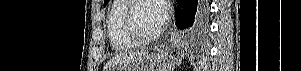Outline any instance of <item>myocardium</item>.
Instances as JSON below:
<instances>
[{
  "instance_id": "f54148a6",
  "label": "myocardium",
  "mask_w": 301,
  "mask_h": 71,
  "mask_svg": "<svg viewBox=\"0 0 301 71\" xmlns=\"http://www.w3.org/2000/svg\"><path fill=\"white\" fill-rule=\"evenodd\" d=\"M144 1L148 0H130L123 16V24L126 34L138 44L151 43L157 40L162 34V29L152 34H144L140 31L135 21V11L138 5Z\"/></svg>"
}]
</instances>
